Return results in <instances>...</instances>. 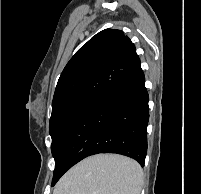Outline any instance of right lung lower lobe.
I'll list each match as a JSON object with an SVG mask.
<instances>
[{
	"instance_id": "1",
	"label": "right lung lower lobe",
	"mask_w": 201,
	"mask_h": 194,
	"mask_svg": "<svg viewBox=\"0 0 201 194\" xmlns=\"http://www.w3.org/2000/svg\"><path fill=\"white\" fill-rule=\"evenodd\" d=\"M148 100L141 66L99 94L61 136L54 154L52 185L74 164L98 153L125 155L143 167L147 153Z\"/></svg>"
}]
</instances>
